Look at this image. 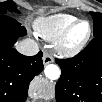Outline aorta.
<instances>
[{"label":"aorta","instance_id":"obj_1","mask_svg":"<svg viewBox=\"0 0 102 102\" xmlns=\"http://www.w3.org/2000/svg\"><path fill=\"white\" fill-rule=\"evenodd\" d=\"M45 76L50 80H56L60 77V69L55 64H49L44 69Z\"/></svg>","mask_w":102,"mask_h":102}]
</instances>
